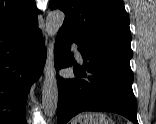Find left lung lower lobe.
I'll return each mask as SVG.
<instances>
[{
	"label": "left lung lower lobe",
	"mask_w": 156,
	"mask_h": 124,
	"mask_svg": "<svg viewBox=\"0 0 156 124\" xmlns=\"http://www.w3.org/2000/svg\"><path fill=\"white\" fill-rule=\"evenodd\" d=\"M73 37L59 31L54 47L56 70L71 66L69 53ZM76 43V42H75ZM84 59L83 66H74L77 78L65 79L57 75V123L66 124L83 111H108L121 114L138 124L130 62L114 55L85 51L78 45Z\"/></svg>",
	"instance_id": "left-lung-lower-lobe-1"
}]
</instances>
